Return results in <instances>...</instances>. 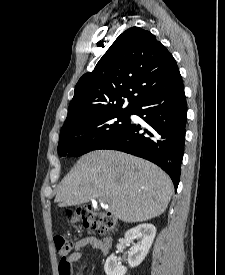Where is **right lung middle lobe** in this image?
Here are the masks:
<instances>
[{
	"label": "right lung middle lobe",
	"instance_id": "obj_1",
	"mask_svg": "<svg viewBox=\"0 0 225 275\" xmlns=\"http://www.w3.org/2000/svg\"><path fill=\"white\" fill-rule=\"evenodd\" d=\"M129 117L130 110H112L62 127L58 143L59 155L77 157L98 149L125 128Z\"/></svg>",
	"mask_w": 225,
	"mask_h": 275
}]
</instances>
